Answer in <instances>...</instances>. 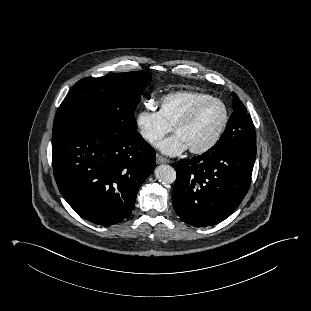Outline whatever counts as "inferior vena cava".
Instances as JSON below:
<instances>
[{"mask_svg":"<svg viewBox=\"0 0 311 311\" xmlns=\"http://www.w3.org/2000/svg\"><path fill=\"white\" fill-rule=\"evenodd\" d=\"M143 137L149 139V140H152V136H150L149 134L147 133H143Z\"/></svg>","mask_w":311,"mask_h":311,"instance_id":"1","label":"inferior vena cava"}]
</instances>
